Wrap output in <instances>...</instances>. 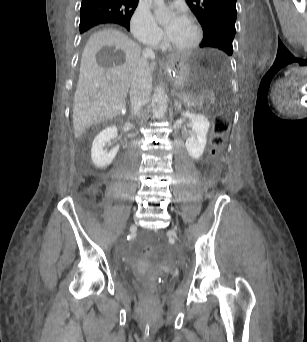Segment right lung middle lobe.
I'll return each mask as SVG.
<instances>
[{
  "label": "right lung middle lobe",
  "instance_id": "dd1d6c3e",
  "mask_svg": "<svg viewBox=\"0 0 307 342\" xmlns=\"http://www.w3.org/2000/svg\"><path fill=\"white\" fill-rule=\"evenodd\" d=\"M118 15L106 10H81L80 32L83 33L93 26L115 22Z\"/></svg>",
  "mask_w": 307,
  "mask_h": 342
}]
</instances>
